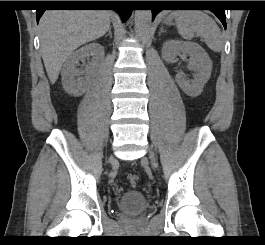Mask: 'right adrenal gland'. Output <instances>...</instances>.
Instances as JSON below:
<instances>
[{
	"label": "right adrenal gland",
	"instance_id": "right-adrenal-gland-1",
	"mask_svg": "<svg viewBox=\"0 0 265 245\" xmlns=\"http://www.w3.org/2000/svg\"><path fill=\"white\" fill-rule=\"evenodd\" d=\"M110 36L112 38V32H111V27L108 29V33L105 35V37Z\"/></svg>",
	"mask_w": 265,
	"mask_h": 245
}]
</instances>
